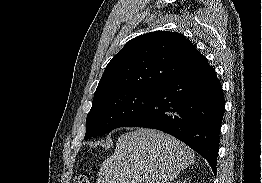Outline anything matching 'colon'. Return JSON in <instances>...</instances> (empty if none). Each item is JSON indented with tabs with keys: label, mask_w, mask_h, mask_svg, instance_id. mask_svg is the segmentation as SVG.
<instances>
[{
	"label": "colon",
	"mask_w": 262,
	"mask_h": 183,
	"mask_svg": "<svg viewBox=\"0 0 262 183\" xmlns=\"http://www.w3.org/2000/svg\"><path fill=\"white\" fill-rule=\"evenodd\" d=\"M74 183H90V179L86 175H78Z\"/></svg>",
	"instance_id": "obj_1"
}]
</instances>
